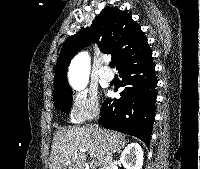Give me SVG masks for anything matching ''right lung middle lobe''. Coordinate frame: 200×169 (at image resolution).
<instances>
[{
  "label": "right lung middle lobe",
  "instance_id": "right-lung-middle-lobe-1",
  "mask_svg": "<svg viewBox=\"0 0 200 169\" xmlns=\"http://www.w3.org/2000/svg\"><path fill=\"white\" fill-rule=\"evenodd\" d=\"M55 105L65 113H69L71 109L72 92L53 96Z\"/></svg>",
  "mask_w": 200,
  "mask_h": 169
}]
</instances>
